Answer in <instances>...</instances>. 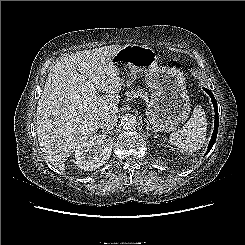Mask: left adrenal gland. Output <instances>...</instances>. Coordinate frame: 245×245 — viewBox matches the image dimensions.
<instances>
[{
  "label": "left adrenal gland",
  "instance_id": "left-adrenal-gland-1",
  "mask_svg": "<svg viewBox=\"0 0 245 245\" xmlns=\"http://www.w3.org/2000/svg\"><path fill=\"white\" fill-rule=\"evenodd\" d=\"M146 129H147V131H149V130H150V127H149V123H148V121H146Z\"/></svg>",
  "mask_w": 245,
  "mask_h": 245
}]
</instances>
